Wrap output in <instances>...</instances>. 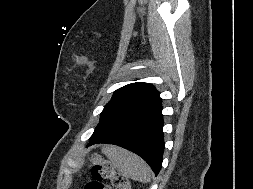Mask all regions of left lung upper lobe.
I'll return each mask as SVG.
<instances>
[{
  "label": "left lung upper lobe",
  "instance_id": "left-lung-upper-lobe-1",
  "mask_svg": "<svg viewBox=\"0 0 253 189\" xmlns=\"http://www.w3.org/2000/svg\"><path fill=\"white\" fill-rule=\"evenodd\" d=\"M160 102L159 92L151 84L137 82L119 88L101 112L92 137L115 129Z\"/></svg>",
  "mask_w": 253,
  "mask_h": 189
}]
</instances>
